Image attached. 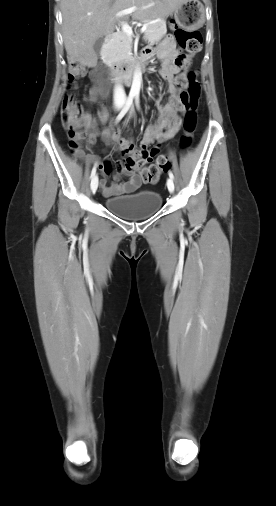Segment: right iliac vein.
<instances>
[{
  "label": "right iliac vein",
  "instance_id": "63e3f726",
  "mask_svg": "<svg viewBox=\"0 0 276 506\" xmlns=\"http://www.w3.org/2000/svg\"><path fill=\"white\" fill-rule=\"evenodd\" d=\"M120 106H121V105H119L118 107H120ZM97 187H98V177H97V176H95V177L92 179V181H91V190H92V192H93V193H95V192H96Z\"/></svg>",
  "mask_w": 276,
  "mask_h": 506
}]
</instances>
